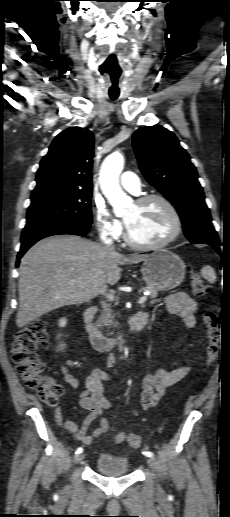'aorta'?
Instances as JSON below:
<instances>
[{
  "label": "aorta",
  "mask_w": 230,
  "mask_h": 517,
  "mask_svg": "<svg viewBox=\"0 0 230 517\" xmlns=\"http://www.w3.org/2000/svg\"><path fill=\"white\" fill-rule=\"evenodd\" d=\"M124 167V157L113 152L102 163L99 182L101 190L115 213H120L130 198L123 192L119 184V176Z\"/></svg>",
  "instance_id": "762f6f07"
}]
</instances>
